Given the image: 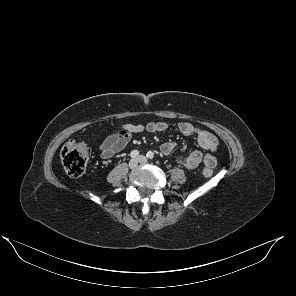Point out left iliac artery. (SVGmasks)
<instances>
[{
    "instance_id": "obj_1",
    "label": "left iliac artery",
    "mask_w": 296,
    "mask_h": 296,
    "mask_svg": "<svg viewBox=\"0 0 296 296\" xmlns=\"http://www.w3.org/2000/svg\"><path fill=\"white\" fill-rule=\"evenodd\" d=\"M147 158L149 159H152L154 157V153L152 151H149L147 154H146Z\"/></svg>"
}]
</instances>
